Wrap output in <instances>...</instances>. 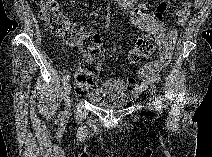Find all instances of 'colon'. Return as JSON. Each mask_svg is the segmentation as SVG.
I'll return each mask as SVG.
<instances>
[{
  "instance_id": "obj_1",
  "label": "colon",
  "mask_w": 212,
  "mask_h": 157,
  "mask_svg": "<svg viewBox=\"0 0 212 157\" xmlns=\"http://www.w3.org/2000/svg\"><path fill=\"white\" fill-rule=\"evenodd\" d=\"M168 6V2H161L156 9L154 19L160 21L167 12ZM39 15L53 34L71 45L82 47L85 51L86 55L80 61L74 75L77 92L85 93L97 83L104 62L105 49L100 38L97 35L88 34L80 24L69 20L60 11L58 3L54 0L40 2ZM164 40V33L156 30L147 31L139 36L129 50L130 62L137 63L151 57L157 48L161 47Z\"/></svg>"
}]
</instances>
